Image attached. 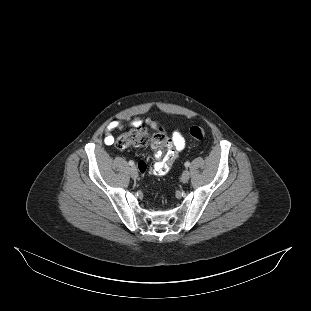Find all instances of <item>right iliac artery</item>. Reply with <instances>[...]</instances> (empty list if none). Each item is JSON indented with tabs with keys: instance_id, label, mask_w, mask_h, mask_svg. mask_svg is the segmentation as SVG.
Returning a JSON list of instances; mask_svg holds the SVG:
<instances>
[{
	"instance_id": "82829eb1",
	"label": "right iliac artery",
	"mask_w": 311,
	"mask_h": 311,
	"mask_svg": "<svg viewBox=\"0 0 311 311\" xmlns=\"http://www.w3.org/2000/svg\"><path fill=\"white\" fill-rule=\"evenodd\" d=\"M129 165H130V166H133V165H134V162H133L132 160H130V161H129Z\"/></svg>"
}]
</instances>
